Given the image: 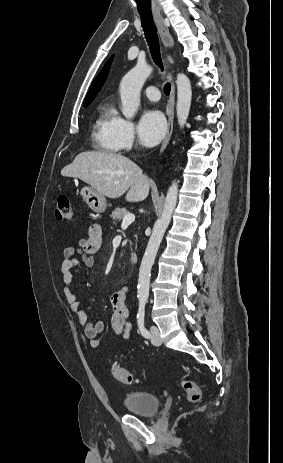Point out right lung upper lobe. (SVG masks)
Wrapping results in <instances>:
<instances>
[{
	"mask_svg": "<svg viewBox=\"0 0 283 463\" xmlns=\"http://www.w3.org/2000/svg\"><path fill=\"white\" fill-rule=\"evenodd\" d=\"M112 59H113V56L107 61L105 66L102 68L100 73L97 75V77L92 82L90 90L85 98L84 104H90L96 97L97 93L100 91L103 84L105 83L109 69H110V65L112 63Z\"/></svg>",
	"mask_w": 283,
	"mask_h": 463,
	"instance_id": "right-lung-upper-lobe-1",
	"label": "right lung upper lobe"
}]
</instances>
